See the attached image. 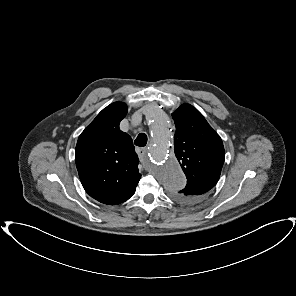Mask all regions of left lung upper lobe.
<instances>
[{
  "label": "left lung upper lobe",
  "mask_w": 296,
  "mask_h": 296,
  "mask_svg": "<svg viewBox=\"0 0 296 296\" xmlns=\"http://www.w3.org/2000/svg\"><path fill=\"white\" fill-rule=\"evenodd\" d=\"M175 155L187 178V185L172 191L178 202L195 203L209 193L219 180L225 159L220 136L192 105L183 104L174 113Z\"/></svg>",
  "instance_id": "5c2ea615"
}]
</instances>
